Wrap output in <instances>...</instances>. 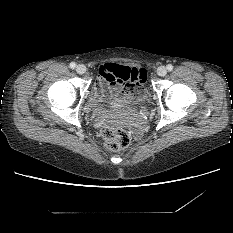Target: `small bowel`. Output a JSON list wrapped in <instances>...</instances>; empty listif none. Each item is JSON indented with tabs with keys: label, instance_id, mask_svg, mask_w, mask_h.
Here are the masks:
<instances>
[{
	"label": "small bowel",
	"instance_id": "c3829d8e",
	"mask_svg": "<svg viewBox=\"0 0 233 233\" xmlns=\"http://www.w3.org/2000/svg\"><path fill=\"white\" fill-rule=\"evenodd\" d=\"M127 68L131 77L135 78L140 82L143 78V71L139 67H130L122 64L104 62L99 67L100 75L97 77L94 87L95 98L101 97L106 92H121L123 87L115 80L112 76L115 74L118 68Z\"/></svg>",
	"mask_w": 233,
	"mask_h": 233
}]
</instances>
